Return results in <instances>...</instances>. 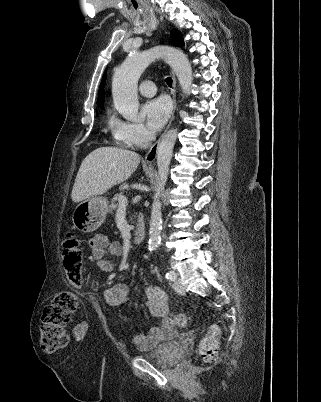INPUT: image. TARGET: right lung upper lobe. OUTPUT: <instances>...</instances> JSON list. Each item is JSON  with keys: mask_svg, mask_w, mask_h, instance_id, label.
<instances>
[{"mask_svg": "<svg viewBox=\"0 0 321 402\" xmlns=\"http://www.w3.org/2000/svg\"><path fill=\"white\" fill-rule=\"evenodd\" d=\"M105 82H106V73L104 74L101 84H100V88H99V92H98V99H97V105L98 107L103 106L104 104V87H105Z\"/></svg>", "mask_w": 321, "mask_h": 402, "instance_id": "obj_1", "label": "right lung upper lobe"}]
</instances>
